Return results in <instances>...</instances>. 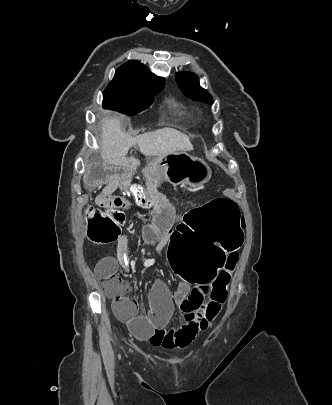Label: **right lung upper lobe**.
Masks as SVG:
<instances>
[{
	"label": "right lung upper lobe",
	"instance_id": "1",
	"mask_svg": "<svg viewBox=\"0 0 332 405\" xmlns=\"http://www.w3.org/2000/svg\"><path fill=\"white\" fill-rule=\"evenodd\" d=\"M116 80H124L128 84L142 88L164 86L165 80L156 77L148 71L146 66L138 61H128L121 65L115 73Z\"/></svg>",
	"mask_w": 332,
	"mask_h": 405
}]
</instances>
